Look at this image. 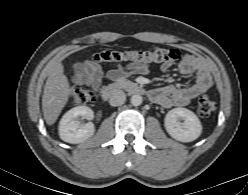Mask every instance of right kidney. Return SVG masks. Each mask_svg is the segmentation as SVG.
<instances>
[{"label": "right kidney", "mask_w": 248, "mask_h": 195, "mask_svg": "<svg viewBox=\"0 0 248 195\" xmlns=\"http://www.w3.org/2000/svg\"><path fill=\"white\" fill-rule=\"evenodd\" d=\"M79 116L87 120H92L94 113L87 106H77L67 111L60 120L58 128L60 138L63 141L78 144L94 135V124L92 122L81 124L77 120Z\"/></svg>", "instance_id": "1"}]
</instances>
